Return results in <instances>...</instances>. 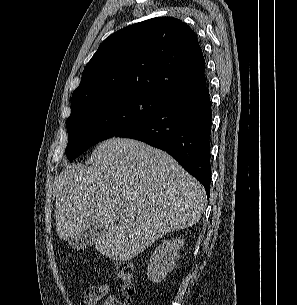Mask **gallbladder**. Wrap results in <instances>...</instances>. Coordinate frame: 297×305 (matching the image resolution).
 I'll return each mask as SVG.
<instances>
[{"instance_id": "gallbladder-1", "label": "gallbladder", "mask_w": 297, "mask_h": 305, "mask_svg": "<svg viewBox=\"0 0 297 305\" xmlns=\"http://www.w3.org/2000/svg\"><path fill=\"white\" fill-rule=\"evenodd\" d=\"M104 232L105 228L102 224H94L88 229L69 238L68 243L72 248L82 250L95 244L103 236Z\"/></svg>"}]
</instances>
